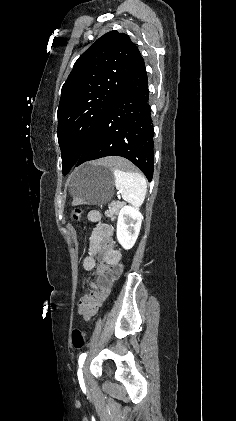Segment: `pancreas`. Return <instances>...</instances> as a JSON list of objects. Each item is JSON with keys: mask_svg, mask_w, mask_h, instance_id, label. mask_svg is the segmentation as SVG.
<instances>
[{"mask_svg": "<svg viewBox=\"0 0 236 421\" xmlns=\"http://www.w3.org/2000/svg\"><path fill=\"white\" fill-rule=\"evenodd\" d=\"M122 206L123 202H115V200H113L110 204L109 211H105L106 217H110L111 221H114L115 215H118L119 208H122Z\"/></svg>", "mask_w": 236, "mask_h": 421, "instance_id": "cf45deb5", "label": "pancreas"}]
</instances>
